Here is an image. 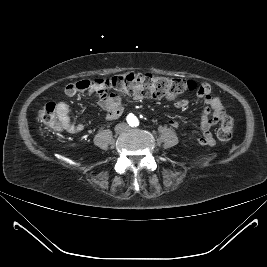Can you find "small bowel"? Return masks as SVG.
Returning <instances> with one entry per match:
<instances>
[{
	"label": "small bowel",
	"mask_w": 267,
	"mask_h": 267,
	"mask_svg": "<svg viewBox=\"0 0 267 267\" xmlns=\"http://www.w3.org/2000/svg\"><path fill=\"white\" fill-rule=\"evenodd\" d=\"M85 81L69 83L64 89L65 94L67 96H75L80 92L88 91L86 88H82V84ZM197 97L203 101V112L200 124L202 135L196 139V142L203 146H213L215 145V139L211 129L225 116L226 108L222 101L212 94L211 87L207 83L200 84L197 90ZM188 104L189 100L183 98L176 102V107L184 109ZM98 105L105 111V117L108 120H115L123 113L122 101L119 95L113 94L104 99H98ZM56 111L60 121V129L71 134L83 131L85 127L83 122L75 123L71 120L67 103L63 101L58 102L56 104ZM170 125L176 129L180 124L177 120H171Z\"/></svg>",
	"instance_id": "1"
}]
</instances>
